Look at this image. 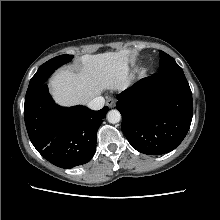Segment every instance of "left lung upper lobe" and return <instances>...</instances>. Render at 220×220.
<instances>
[{
	"label": "left lung upper lobe",
	"instance_id": "left-lung-upper-lobe-1",
	"mask_svg": "<svg viewBox=\"0 0 220 220\" xmlns=\"http://www.w3.org/2000/svg\"><path fill=\"white\" fill-rule=\"evenodd\" d=\"M160 72H175L183 71L181 67L175 62V60L163 51H160Z\"/></svg>",
	"mask_w": 220,
	"mask_h": 220
}]
</instances>
